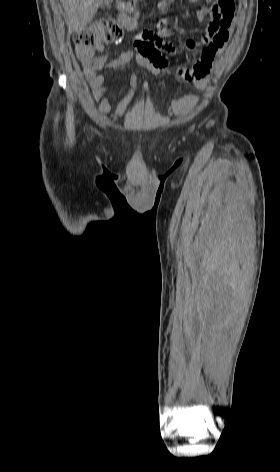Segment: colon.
<instances>
[{
    "mask_svg": "<svg viewBox=\"0 0 280 472\" xmlns=\"http://www.w3.org/2000/svg\"><path fill=\"white\" fill-rule=\"evenodd\" d=\"M235 12V0H216L210 8V18L214 25L223 26L231 23ZM124 36L123 28L111 19H98L76 33L75 44L90 48H99L105 44L118 43Z\"/></svg>",
    "mask_w": 280,
    "mask_h": 472,
    "instance_id": "obj_1",
    "label": "colon"
}]
</instances>
